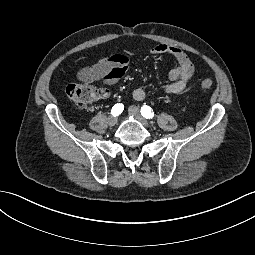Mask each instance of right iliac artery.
Listing matches in <instances>:
<instances>
[{
    "instance_id": "right-iliac-artery-1",
    "label": "right iliac artery",
    "mask_w": 255,
    "mask_h": 255,
    "mask_svg": "<svg viewBox=\"0 0 255 255\" xmlns=\"http://www.w3.org/2000/svg\"><path fill=\"white\" fill-rule=\"evenodd\" d=\"M124 110V106L121 103L115 104L111 109V115L116 117L120 115Z\"/></svg>"
}]
</instances>
